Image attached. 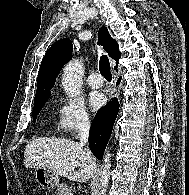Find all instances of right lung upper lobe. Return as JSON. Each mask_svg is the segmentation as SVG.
<instances>
[{
  "mask_svg": "<svg viewBox=\"0 0 189 195\" xmlns=\"http://www.w3.org/2000/svg\"><path fill=\"white\" fill-rule=\"evenodd\" d=\"M98 44L102 45L108 55L118 60L121 57L119 45L111 37L106 27H101L98 34ZM73 45L70 39H61L55 42L46 52L40 66L37 90L34 103L47 99L50 96V90L55 84L57 74L62 67L72 58ZM117 65L115 69L117 70Z\"/></svg>",
  "mask_w": 189,
  "mask_h": 195,
  "instance_id": "1",
  "label": "right lung upper lobe"
}]
</instances>
